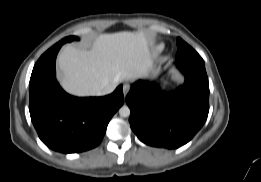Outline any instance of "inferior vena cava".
<instances>
[{
  "instance_id": "obj_1",
  "label": "inferior vena cava",
  "mask_w": 261,
  "mask_h": 182,
  "mask_svg": "<svg viewBox=\"0 0 261 182\" xmlns=\"http://www.w3.org/2000/svg\"><path fill=\"white\" fill-rule=\"evenodd\" d=\"M114 88L112 86H107L105 88H103L101 91H99V95H106V94H110L111 92H113Z\"/></svg>"
}]
</instances>
